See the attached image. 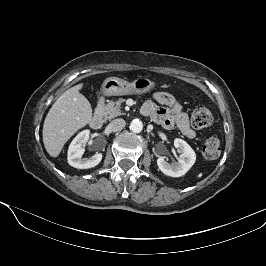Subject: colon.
Returning <instances> with one entry per match:
<instances>
[{"label": "colon", "mask_w": 266, "mask_h": 266, "mask_svg": "<svg viewBox=\"0 0 266 266\" xmlns=\"http://www.w3.org/2000/svg\"><path fill=\"white\" fill-rule=\"evenodd\" d=\"M212 115L208 108L203 105L197 106L191 116V122L196 128H205L211 125ZM221 149L220 140L217 135L208 136L202 145V154L206 159L212 160L218 157Z\"/></svg>", "instance_id": "colon-1"}]
</instances>
